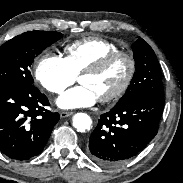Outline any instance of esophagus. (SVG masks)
Here are the masks:
<instances>
[{
    "label": "esophagus",
    "instance_id": "esophagus-1",
    "mask_svg": "<svg viewBox=\"0 0 183 183\" xmlns=\"http://www.w3.org/2000/svg\"><path fill=\"white\" fill-rule=\"evenodd\" d=\"M72 114H73L72 112L62 111L60 113V117L65 118V117L71 116Z\"/></svg>",
    "mask_w": 183,
    "mask_h": 183
}]
</instances>
